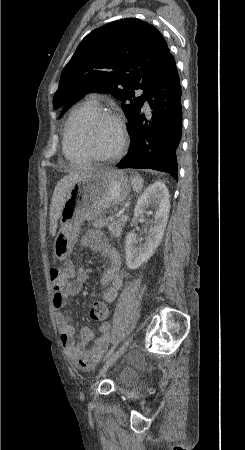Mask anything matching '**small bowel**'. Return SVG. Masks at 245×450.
Masks as SVG:
<instances>
[{
    "instance_id": "c3829d8e",
    "label": "small bowel",
    "mask_w": 245,
    "mask_h": 450,
    "mask_svg": "<svg viewBox=\"0 0 245 450\" xmlns=\"http://www.w3.org/2000/svg\"><path fill=\"white\" fill-rule=\"evenodd\" d=\"M80 243L105 258L106 266L100 278V285L104 287L103 301L111 304L114 302L124 280V275L120 270L118 251L100 230H89L83 235ZM50 277L53 281L54 316L64 351L81 371H89L95 366L110 343L111 326L108 321L99 324L98 329L101 335L90 349H88V344L92 340L93 334L87 327L82 329L81 341L75 343L74 327L65 312V308L68 300L81 291L83 284L88 280V272L83 267L76 270L72 267L65 270L52 268Z\"/></svg>"
}]
</instances>
